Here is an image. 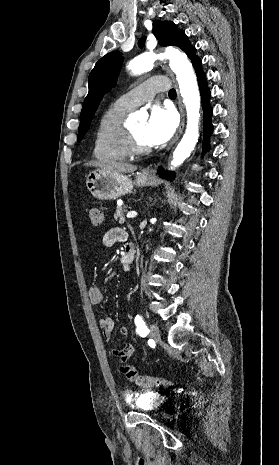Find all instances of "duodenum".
I'll return each mask as SVG.
<instances>
[{"instance_id":"obj_1","label":"duodenum","mask_w":279,"mask_h":465,"mask_svg":"<svg viewBox=\"0 0 279 465\" xmlns=\"http://www.w3.org/2000/svg\"><path fill=\"white\" fill-rule=\"evenodd\" d=\"M134 255H135L134 246L131 243L126 244L124 248L123 256L121 258L122 263L125 265H129L133 261Z\"/></svg>"}]
</instances>
